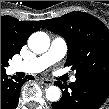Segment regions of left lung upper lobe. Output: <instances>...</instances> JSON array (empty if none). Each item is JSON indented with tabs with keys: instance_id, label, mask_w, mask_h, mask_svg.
I'll list each match as a JSON object with an SVG mask.
<instances>
[{
	"instance_id": "1",
	"label": "left lung upper lobe",
	"mask_w": 109,
	"mask_h": 109,
	"mask_svg": "<svg viewBox=\"0 0 109 109\" xmlns=\"http://www.w3.org/2000/svg\"><path fill=\"white\" fill-rule=\"evenodd\" d=\"M46 29L63 36L68 54L65 66L76 77L98 76L109 80V29L94 16L74 11L60 18L41 21Z\"/></svg>"
}]
</instances>
